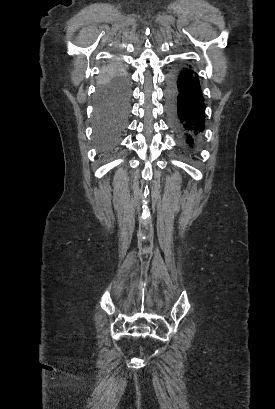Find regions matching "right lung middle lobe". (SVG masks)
I'll return each mask as SVG.
<instances>
[{"instance_id":"1","label":"right lung middle lobe","mask_w":275,"mask_h":409,"mask_svg":"<svg viewBox=\"0 0 275 409\" xmlns=\"http://www.w3.org/2000/svg\"><path fill=\"white\" fill-rule=\"evenodd\" d=\"M95 139L102 153L108 155L126 129L129 115V76L116 61L102 70L97 86Z\"/></svg>"}]
</instances>
